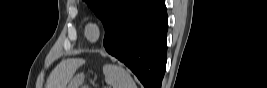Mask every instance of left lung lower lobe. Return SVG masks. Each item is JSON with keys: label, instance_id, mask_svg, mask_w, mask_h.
<instances>
[{"label": "left lung lower lobe", "instance_id": "0a47b994", "mask_svg": "<svg viewBox=\"0 0 267 88\" xmlns=\"http://www.w3.org/2000/svg\"><path fill=\"white\" fill-rule=\"evenodd\" d=\"M164 0H137L106 31L104 47L128 66L145 88H161L166 66Z\"/></svg>", "mask_w": 267, "mask_h": 88}]
</instances>
